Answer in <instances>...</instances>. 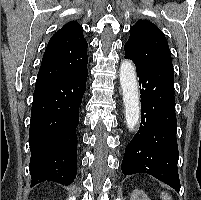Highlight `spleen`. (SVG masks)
Here are the masks:
<instances>
[{
  "instance_id": "spleen-1",
  "label": "spleen",
  "mask_w": 201,
  "mask_h": 200,
  "mask_svg": "<svg viewBox=\"0 0 201 200\" xmlns=\"http://www.w3.org/2000/svg\"><path fill=\"white\" fill-rule=\"evenodd\" d=\"M161 198H162V200H172L171 196L168 195L167 193H162Z\"/></svg>"
}]
</instances>
